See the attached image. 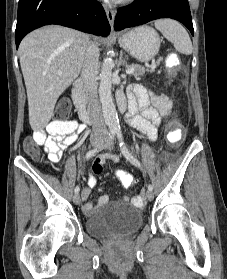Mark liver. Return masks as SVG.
<instances>
[{"label": "liver", "instance_id": "liver-1", "mask_svg": "<svg viewBox=\"0 0 227 279\" xmlns=\"http://www.w3.org/2000/svg\"><path fill=\"white\" fill-rule=\"evenodd\" d=\"M89 43L85 33L58 25L37 29L20 43L33 131L42 130L52 118L59 96L80 74Z\"/></svg>", "mask_w": 227, "mask_h": 279}]
</instances>
